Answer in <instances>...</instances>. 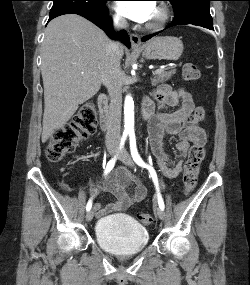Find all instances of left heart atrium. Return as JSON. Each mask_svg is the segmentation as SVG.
<instances>
[{"label":"left heart atrium","mask_w":250,"mask_h":285,"mask_svg":"<svg viewBox=\"0 0 250 285\" xmlns=\"http://www.w3.org/2000/svg\"><path fill=\"white\" fill-rule=\"evenodd\" d=\"M155 4L152 1H121L118 3L119 11L127 18L144 23L150 20Z\"/></svg>","instance_id":"39dd6f15"}]
</instances>
